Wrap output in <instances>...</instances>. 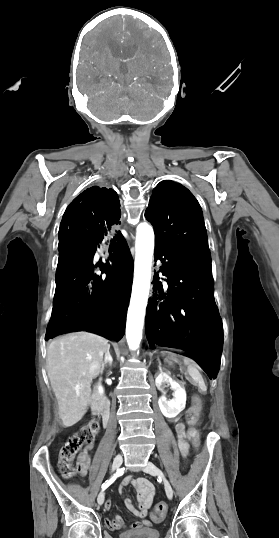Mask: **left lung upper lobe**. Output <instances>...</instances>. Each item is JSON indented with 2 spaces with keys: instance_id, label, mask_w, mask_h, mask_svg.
Wrapping results in <instances>:
<instances>
[{
  "instance_id": "left-lung-upper-lobe-1",
  "label": "left lung upper lobe",
  "mask_w": 279,
  "mask_h": 538,
  "mask_svg": "<svg viewBox=\"0 0 279 538\" xmlns=\"http://www.w3.org/2000/svg\"><path fill=\"white\" fill-rule=\"evenodd\" d=\"M145 217L154 227L156 245L182 254L210 256L201 207L184 186L161 181L152 192Z\"/></svg>"
}]
</instances>
